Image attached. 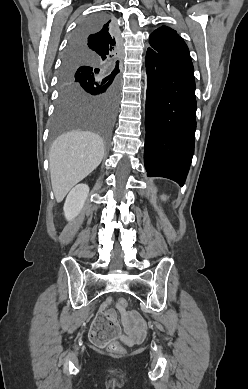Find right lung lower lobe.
<instances>
[{"label": "right lung lower lobe", "mask_w": 248, "mask_h": 389, "mask_svg": "<svg viewBox=\"0 0 248 389\" xmlns=\"http://www.w3.org/2000/svg\"><path fill=\"white\" fill-rule=\"evenodd\" d=\"M111 27H112V31H113L114 36L118 39L117 33L115 32V29H114V26H113L112 23H111ZM80 40H81V38L77 39V40L75 41L74 44H69V46H68V48H67V52H69V53H75V52H77L75 48H76V46L78 45V42H79ZM118 40H119V39H118ZM81 72H83V71L81 70Z\"/></svg>", "instance_id": "1"}]
</instances>
